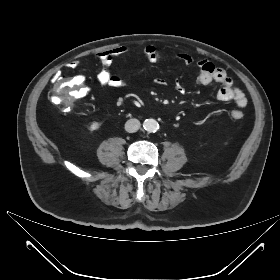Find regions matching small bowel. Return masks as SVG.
Masks as SVG:
<instances>
[{"instance_id":"c3829d8e","label":"small bowel","mask_w":280,"mask_h":280,"mask_svg":"<svg viewBox=\"0 0 280 280\" xmlns=\"http://www.w3.org/2000/svg\"><path fill=\"white\" fill-rule=\"evenodd\" d=\"M130 55V49L126 46H121L115 49L101 52L97 55L101 68L96 73L97 82L106 87L123 88L127 85V81L109 71L110 65L119 58H125ZM145 60L151 63L157 62L162 59L163 54L153 46H149L145 51ZM175 57L187 65L193 63V59L186 53H176ZM78 66L77 61H72L67 64L69 69H76ZM199 73L196 77V85H209L216 83L219 87L215 90V97L220 101H232L238 109L234 110L231 116L235 118L236 113L243 116L242 109L247 106L248 100L242 90L234 86L233 80L225 70L215 66L207 60H200L198 62ZM155 82L158 85H164L165 81L157 78ZM177 90L182 92L184 87L178 83Z\"/></svg>"}]
</instances>
